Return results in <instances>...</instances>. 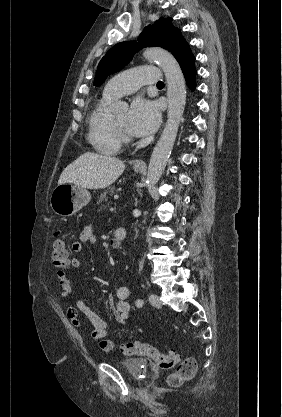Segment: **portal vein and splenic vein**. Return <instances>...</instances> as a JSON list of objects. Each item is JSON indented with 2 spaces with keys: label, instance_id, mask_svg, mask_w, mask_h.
Instances as JSON below:
<instances>
[{
  "label": "portal vein and splenic vein",
  "instance_id": "portal-vein-and-splenic-vein-1",
  "mask_svg": "<svg viewBox=\"0 0 282 417\" xmlns=\"http://www.w3.org/2000/svg\"><path fill=\"white\" fill-rule=\"evenodd\" d=\"M114 199H118V200H121V199H122V196H121V195H118V196H114Z\"/></svg>",
  "mask_w": 282,
  "mask_h": 417
}]
</instances>
